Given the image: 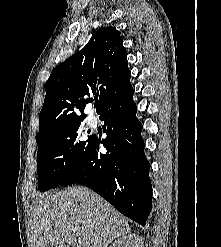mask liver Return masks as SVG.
<instances>
[{"label": "liver", "instance_id": "1", "mask_svg": "<svg viewBox=\"0 0 221 247\" xmlns=\"http://www.w3.org/2000/svg\"><path fill=\"white\" fill-rule=\"evenodd\" d=\"M30 227L32 247H108L130 232L127 218L98 194L80 186L40 196L32 208Z\"/></svg>", "mask_w": 221, "mask_h": 247}]
</instances>
